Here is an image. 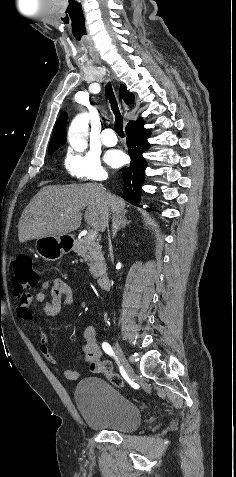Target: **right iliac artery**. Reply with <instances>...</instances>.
I'll use <instances>...</instances> for the list:
<instances>
[{
    "label": "right iliac artery",
    "mask_w": 236,
    "mask_h": 477,
    "mask_svg": "<svg viewBox=\"0 0 236 477\" xmlns=\"http://www.w3.org/2000/svg\"><path fill=\"white\" fill-rule=\"evenodd\" d=\"M102 348L105 351V353H107L110 356H113L116 359V361H118V358L115 356V353H114V351H113V349H112V347L109 343L103 342L102 343Z\"/></svg>",
    "instance_id": "1"
}]
</instances>
